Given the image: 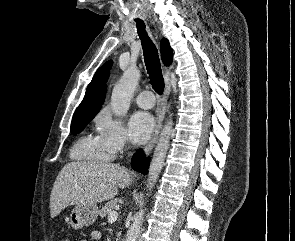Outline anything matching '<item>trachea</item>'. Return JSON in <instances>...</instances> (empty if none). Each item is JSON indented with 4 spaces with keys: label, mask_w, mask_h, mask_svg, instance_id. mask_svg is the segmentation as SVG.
<instances>
[{
    "label": "trachea",
    "mask_w": 295,
    "mask_h": 241,
    "mask_svg": "<svg viewBox=\"0 0 295 241\" xmlns=\"http://www.w3.org/2000/svg\"><path fill=\"white\" fill-rule=\"evenodd\" d=\"M136 24L138 34L142 42L144 60L149 74L150 83L155 92L162 95L164 91V79L157 49L145 32L144 22L138 20L136 21Z\"/></svg>",
    "instance_id": "trachea-1"
}]
</instances>
